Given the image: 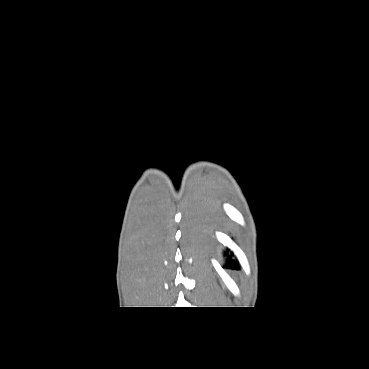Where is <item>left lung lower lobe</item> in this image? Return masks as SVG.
Listing matches in <instances>:
<instances>
[{
  "instance_id": "1",
  "label": "left lung lower lobe",
  "mask_w": 369,
  "mask_h": 369,
  "mask_svg": "<svg viewBox=\"0 0 369 369\" xmlns=\"http://www.w3.org/2000/svg\"><path fill=\"white\" fill-rule=\"evenodd\" d=\"M229 266L235 268L236 263L233 260H229Z\"/></svg>"
}]
</instances>
